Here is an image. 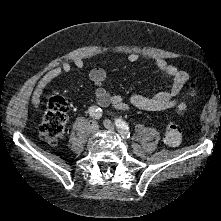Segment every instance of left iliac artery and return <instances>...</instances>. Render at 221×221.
I'll return each mask as SVG.
<instances>
[{
  "mask_svg": "<svg viewBox=\"0 0 221 221\" xmlns=\"http://www.w3.org/2000/svg\"><path fill=\"white\" fill-rule=\"evenodd\" d=\"M115 124L119 129L121 136L125 139H128L130 137L128 124L121 119H116Z\"/></svg>",
  "mask_w": 221,
  "mask_h": 221,
  "instance_id": "44dca946",
  "label": "left iliac artery"
}]
</instances>
